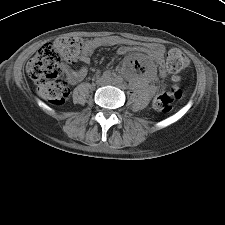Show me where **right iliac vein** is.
<instances>
[{
    "label": "right iliac vein",
    "mask_w": 225,
    "mask_h": 225,
    "mask_svg": "<svg viewBox=\"0 0 225 225\" xmlns=\"http://www.w3.org/2000/svg\"><path fill=\"white\" fill-rule=\"evenodd\" d=\"M105 83H106V80H105L104 77H99V78L97 79V84H98V85H104Z\"/></svg>",
    "instance_id": "63e3f726"
}]
</instances>
